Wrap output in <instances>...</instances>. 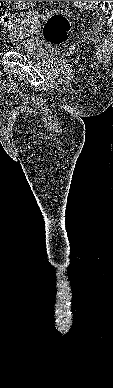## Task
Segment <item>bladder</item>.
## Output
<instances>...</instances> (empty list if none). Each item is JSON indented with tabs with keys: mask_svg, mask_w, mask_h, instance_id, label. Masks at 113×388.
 Returning a JSON list of instances; mask_svg holds the SVG:
<instances>
[{
	"mask_svg": "<svg viewBox=\"0 0 113 388\" xmlns=\"http://www.w3.org/2000/svg\"><path fill=\"white\" fill-rule=\"evenodd\" d=\"M38 26L37 17L35 15H28L26 22H18L16 28L18 36L27 37L35 31ZM48 47L40 42L27 40L23 44L16 47V50L24 53L26 56L32 58H41L45 55Z\"/></svg>",
	"mask_w": 113,
	"mask_h": 388,
	"instance_id": "obj_1",
	"label": "bladder"
}]
</instances>
